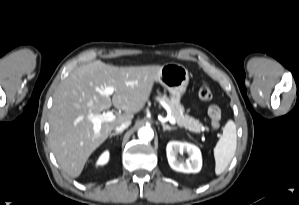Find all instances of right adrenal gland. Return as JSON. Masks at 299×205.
<instances>
[{"mask_svg":"<svg viewBox=\"0 0 299 205\" xmlns=\"http://www.w3.org/2000/svg\"><path fill=\"white\" fill-rule=\"evenodd\" d=\"M120 134H122V132H114L111 133L109 137L112 138L113 136L120 135Z\"/></svg>","mask_w":299,"mask_h":205,"instance_id":"1","label":"right adrenal gland"}]
</instances>
